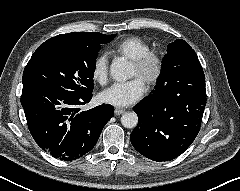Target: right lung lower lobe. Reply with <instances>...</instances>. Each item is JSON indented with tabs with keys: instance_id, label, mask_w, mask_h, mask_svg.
<instances>
[{
	"instance_id": "1",
	"label": "right lung lower lobe",
	"mask_w": 240,
	"mask_h": 191,
	"mask_svg": "<svg viewBox=\"0 0 240 191\" xmlns=\"http://www.w3.org/2000/svg\"><path fill=\"white\" fill-rule=\"evenodd\" d=\"M92 93L74 95L47 85H23L21 104L35 142L60 160H75L88 153L98 141L105 124L113 117L110 105L87 111Z\"/></svg>"
}]
</instances>
